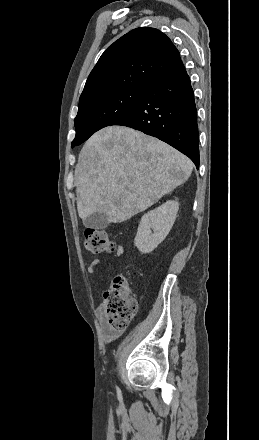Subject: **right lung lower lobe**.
Masks as SVG:
<instances>
[{
    "mask_svg": "<svg viewBox=\"0 0 259 440\" xmlns=\"http://www.w3.org/2000/svg\"><path fill=\"white\" fill-rule=\"evenodd\" d=\"M112 125L154 136L188 156L199 168L194 92L181 60L151 84L135 107Z\"/></svg>",
    "mask_w": 259,
    "mask_h": 440,
    "instance_id": "right-lung-lower-lobe-1",
    "label": "right lung lower lobe"
}]
</instances>
